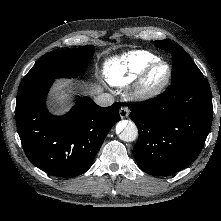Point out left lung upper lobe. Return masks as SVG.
Listing matches in <instances>:
<instances>
[{
	"instance_id": "5c2ea615",
	"label": "left lung upper lobe",
	"mask_w": 221,
	"mask_h": 221,
	"mask_svg": "<svg viewBox=\"0 0 221 221\" xmlns=\"http://www.w3.org/2000/svg\"><path fill=\"white\" fill-rule=\"evenodd\" d=\"M154 45L162 50L170 52L173 58L171 83L186 78H204L203 74L192 61L187 52L175 41L158 40Z\"/></svg>"
}]
</instances>
